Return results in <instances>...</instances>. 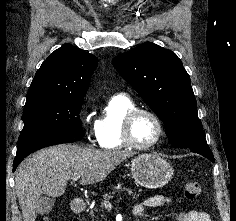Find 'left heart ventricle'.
Listing matches in <instances>:
<instances>
[{
  "instance_id": "b2bd125f",
  "label": "left heart ventricle",
  "mask_w": 236,
  "mask_h": 221,
  "mask_svg": "<svg viewBox=\"0 0 236 221\" xmlns=\"http://www.w3.org/2000/svg\"><path fill=\"white\" fill-rule=\"evenodd\" d=\"M157 134V124L149 115L141 114L134 120L132 135L138 144L146 145L151 143L157 137Z\"/></svg>"
}]
</instances>
